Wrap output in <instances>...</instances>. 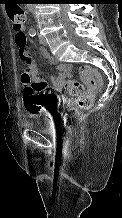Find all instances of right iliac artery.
Instances as JSON below:
<instances>
[{
	"mask_svg": "<svg viewBox=\"0 0 122 218\" xmlns=\"http://www.w3.org/2000/svg\"><path fill=\"white\" fill-rule=\"evenodd\" d=\"M29 35L34 37L36 35V30L35 29H30L29 30Z\"/></svg>",
	"mask_w": 122,
	"mask_h": 218,
	"instance_id": "obj_1",
	"label": "right iliac artery"
}]
</instances>
